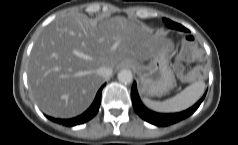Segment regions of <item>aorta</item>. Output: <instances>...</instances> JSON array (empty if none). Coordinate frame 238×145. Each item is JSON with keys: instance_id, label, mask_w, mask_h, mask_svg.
I'll return each mask as SVG.
<instances>
[{"instance_id": "obj_1", "label": "aorta", "mask_w": 238, "mask_h": 145, "mask_svg": "<svg viewBox=\"0 0 238 145\" xmlns=\"http://www.w3.org/2000/svg\"><path fill=\"white\" fill-rule=\"evenodd\" d=\"M117 78L120 82L125 83V84H129L133 80V75H132V72L130 70L123 69L118 73Z\"/></svg>"}]
</instances>
